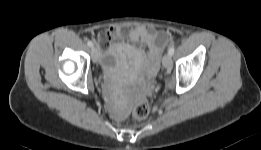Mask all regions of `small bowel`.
Listing matches in <instances>:
<instances>
[{
  "label": "small bowel",
  "instance_id": "small-bowel-1",
  "mask_svg": "<svg viewBox=\"0 0 261 150\" xmlns=\"http://www.w3.org/2000/svg\"><path fill=\"white\" fill-rule=\"evenodd\" d=\"M121 35V29L112 27L103 30L98 36V42L101 47L107 48L111 40ZM129 38L133 42L142 43L146 46V51L135 48L131 45H125L130 54L134 57L136 62H146L152 72L158 68V63L162 49L164 48L168 36L164 31H158L152 26H137L130 30Z\"/></svg>",
  "mask_w": 261,
  "mask_h": 150
}]
</instances>
